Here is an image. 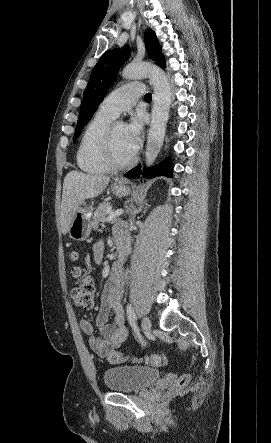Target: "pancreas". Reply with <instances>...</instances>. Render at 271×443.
I'll list each match as a JSON object with an SVG mask.
<instances>
[{
  "mask_svg": "<svg viewBox=\"0 0 271 443\" xmlns=\"http://www.w3.org/2000/svg\"><path fill=\"white\" fill-rule=\"evenodd\" d=\"M108 208H110L109 202H107V204H100V206H98L97 210H95V212H93L92 225H93L94 229H96V227H98L99 222H105V220L107 218L106 212H107Z\"/></svg>",
  "mask_w": 271,
  "mask_h": 443,
  "instance_id": "pancreas-1",
  "label": "pancreas"
}]
</instances>
